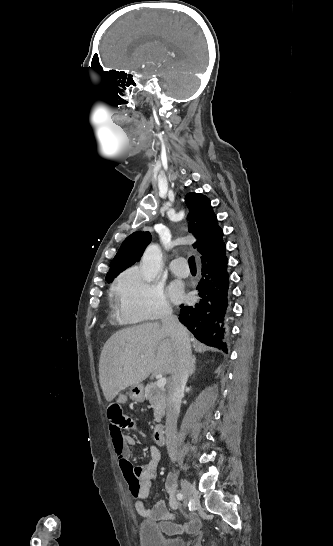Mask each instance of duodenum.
<instances>
[{"instance_id": "1", "label": "duodenum", "mask_w": 333, "mask_h": 546, "mask_svg": "<svg viewBox=\"0 0 333 546\" xmlns=\"http://www.w3.org/2000/svg\"><path fill=\"white\" fill-rule=\"evenodd\" d=\"M154 441L157 445H164L166 442L165 429L163 425H158L154 429L153 433Z\"/></svg>"}]
</instances>
